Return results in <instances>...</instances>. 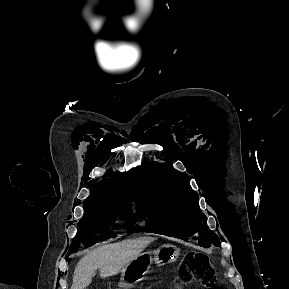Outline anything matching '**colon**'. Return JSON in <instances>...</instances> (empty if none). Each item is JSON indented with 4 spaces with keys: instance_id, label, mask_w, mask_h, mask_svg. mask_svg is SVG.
<instances>
[{
    "instance_id": "1",
    "label": "colon",
    "mask_w": 289,
    "mask_h": 289,
    "mask_svg": "<svg viewBox=\"0 0 289 289\" xmlns=\"http://www.w3.org/2000/svg\"><path fill=\"white\" fill-rule=\"evenodd\" d=\"M179 280L184 285L196 284L202 287L223 289L217 285L210 266L198 254L190 255V258L186 263Z\"/></svg>"
}]
</instances>
